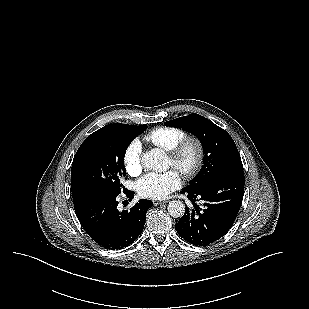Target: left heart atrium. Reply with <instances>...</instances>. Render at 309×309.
I'll return each instance as SVG.
<instances>
[{"label": "left heart atrium", "mask_w": 309, "mask_h": 309, "mask_svg": "<svg viewBox=\"0 0 309 309\" xmlns=\"http://www.w3.org/2000/svg\"><path fill=\"white\" fill-rule=\"evenodd\" d=\"M180 185L181 177L175 170L162 173L150 172L138 181L137 191L144 198L163 199Z\"/></svg>", "instance_id": "left-heart-atrium-1"}]
</instances>
